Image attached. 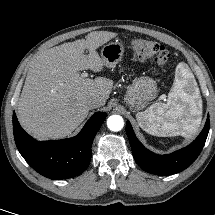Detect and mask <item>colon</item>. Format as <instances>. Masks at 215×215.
I'll list each match as a JSON object with an SVG mask.
<instances>
[{
	"label": "colon",
	"mask_w": 215,
	"mask_h": 215,
	"mask_svg": "<svg viewBox=\"0 0 215 215\" xmlns=\"http://www.w3.org/2000/svg\"><path fill=\"white\" fill-rule=\"evenodd\" d=\"M131 47L139 60L153 59L159 65L167 64L171 56L169 50L164 46L148 39H134Z\"/></svg>",
	"instance_id": "5ec220e1"
}]
</instances>
